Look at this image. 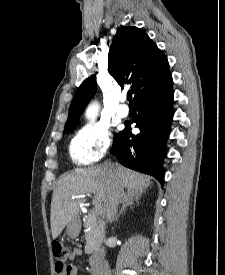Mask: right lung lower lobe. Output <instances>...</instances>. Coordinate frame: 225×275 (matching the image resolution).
I'll use <instances>...</instances> for the list:
<instances>
[{"label": "right lung lower lobe", "mask_w": 225, "mask_h": 275, "mask_svg": "<svg viewBox=\"0 0 225 275\" xmlns=\"http://www.w3.org/2000/svg\"><path fill=\"white\" fill-rule=\"evenodd\" d=\"M170 74L164 84L134 100L138 115L125 129L115 135L111 153L120 163L131 169L149 174L164 181L162 160L166 155V140L173 118V89ZM140 129L137 135L131 134V124Z\"/></svg>", "instance_id": "right-lung-lower-lobe-1"}]
</instances>
